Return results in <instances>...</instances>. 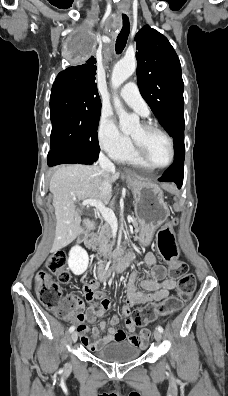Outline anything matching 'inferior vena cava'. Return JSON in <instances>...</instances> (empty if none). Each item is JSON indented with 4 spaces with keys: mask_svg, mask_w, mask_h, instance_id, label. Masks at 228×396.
Returning a JSON list of instances; mask_svg holds the SVG:
<instances>
[{
    "mask_svg": "<svg viewBox=\"0 0 228 396\" xmlns=\"http://www.w3.org/2000/svg\"><path fill=\"white\" fill-rule=\"evenodd\" d=\"M98 163L102 171L105 172L104 180L101 186V191L103 193H108L111 191V184L108 180L109 173L115 170V166L103 153H100Z\"/></svg>",
    "mask_w": 228,
    "mask_h": 396,
    "instance_id": "602c4592",
    "label": "inferior vena cava"
}]
</instances>
